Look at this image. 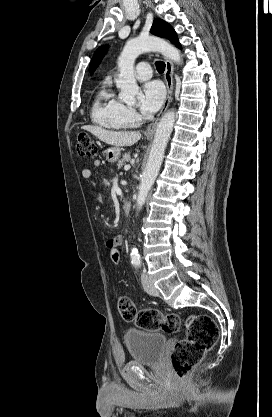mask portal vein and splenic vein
<instances>
[{
	"label": "portal vein and splenic vein",
	"mask_w": 272,
	"mask_h": 417,
	"mask_svg": "<svg viewBox=\"0 0 272 417\" xmlns=\"http://www.w3.org/2000/svg\"><path fill=\"white\" fill-rule=\"evenodd\" d=\"M130 167H131L130 165H125L124 169L127 171L130 169Z\"/></svg>",
	"instance_id": "1"
}]
</instances>
